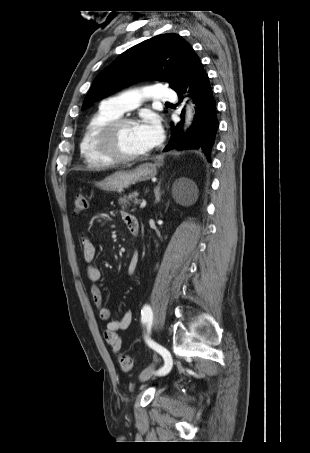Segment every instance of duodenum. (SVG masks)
Masks as SVG:
<instances>
[{
    "mask_svg": "<svg viewBox=\"0 0 310 453\" xmlns=\"http://www.w3.org/2000/svg\"><path fill=\"white\" fill-rule=\"evenodd\" d=\"M129 231L133 234V235H136L139 231V226H135V227H130L129 228Z\"/></svg>",
    "mask_w": 310,
    "mask_h": 453,
    "instance_id": "obj_1",
    "label": "duodenum"
}]
</instances>
